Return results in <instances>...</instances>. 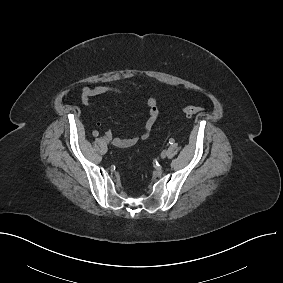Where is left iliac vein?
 <instances>
[{"label": "left iliac vein", "instance_id": "1", "mask_svg": "<svg viewBox=\"0 0 283 283\" xmlns=\"http://www.w3.org/2000/svg\"><path fill=\"white\" fill-rule=\"evenodd\" d=\"M168 155V151L167 150H163L162 152H161V158L162 159H164V158H166V156Z\"/></svg>", "mask_w": 283, "mask_h": 283}]
</instances>
